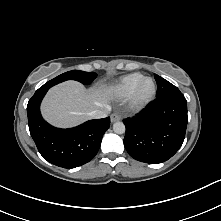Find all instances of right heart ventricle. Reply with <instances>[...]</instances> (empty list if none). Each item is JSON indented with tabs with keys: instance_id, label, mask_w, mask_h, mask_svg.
<instances>
[{
	"instance_id": "obj_1",
	"label": "right heart ventricle",
	"mask_w": 221,
	"mask_h": 221,
	"mask_svg": "<svg viewBox=\"0 0 221 221\" xmlns=\"http://www.w3.org/2000/svg\"><path fill=\"white\" fill-rule=\"evenodd\" d=\"M144 78L141 73H131L119 78L110 88L113 95L119 98L129 97L136 85Z\"/></svg>"
}]
</instances>
